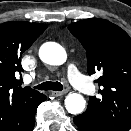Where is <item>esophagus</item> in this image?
<instances>
[{"mask_svg": "<svg viewBox=\"0 0 131 131\" xmlns=\"http://www.w3.org/2000/svg\"><path fill=\"white\" fill-rule=\"evenodd\" d=\"M65 93H66V91H52V95H53V96H56V97L62 96V95H64Z\"/></svg>", "mask_w": 131, "mask_h": 131, "instance_id": "1", "label": "esophagus"}]
</instances>
